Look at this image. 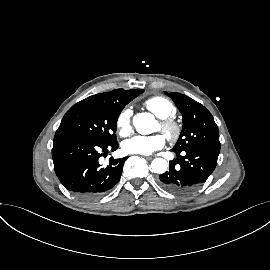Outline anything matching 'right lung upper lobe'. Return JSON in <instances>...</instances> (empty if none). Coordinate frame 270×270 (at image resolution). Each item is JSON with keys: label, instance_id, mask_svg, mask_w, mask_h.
<instances>
[{"label": "right lung upper lobe", "instance_id": "obj_1", "mask_svg": "<svg viewBox=\"0 0 270 270\" xmlns=\"http://www.w3.org/2000/svg\"><path fill=\"white\" fill-rule=\"evenodd\" d=\"M143 89L123 90L116 89L108 93L94 95L95 98L104 99L113 102L118 107L124 108L135 97L143 93Z\"/></svg>", "mask_w": 270, "mask_h": 270}]
</instances>
